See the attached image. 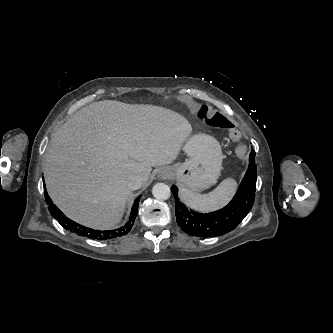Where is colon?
<instances>
[{
	"mask_svg": "<svg viewBox=\"0 0 333 333\" xmlns=\"http://www.w3.org/2000/svg\"><path fill=\"white\" fill-rule=\"evenodd\" d=\"M198 118L205 120L212 127L227 129L239 133L233 128L231 121L219 112L209 109L207 106H201L197 111Z\"/></svg>",
	"mask_w": 333,
	"mask_h": 333,
	"instance_id": "1",
	"label": "colon"
}]
</instances>
